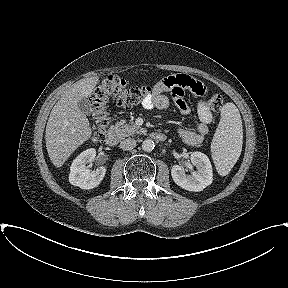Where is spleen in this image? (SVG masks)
Here are the masks:
<instances>
[{"instance_id":"1","label":"spleen","mask_w":288,"mask_h":288,"mask_svg":"<svg viewBox=\"0 0 288 288\" xmlns=\"http://www.w3.org/2000/svg\"><path fill=\"white\" fill-rule=\"evenodd\" d=\"M243 144L242 120L234 103H226L221 109V119L215 131L211 152L221 176L229 174L240 157Z\"/></svg>"}]
</instances>
